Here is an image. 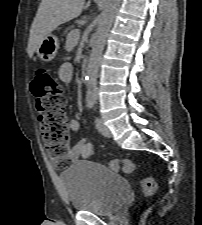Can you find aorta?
<instances>
[{
	"label": "aorta",
	"mask_w": 202,
	"mask_h": 225,
	"mask_svg": "<svg viewBox=\"0 0 202 225\" xmlns=\"http://www.w3.org/2000/svg\"><path fill=\"white\" fill-rule=\"evenodd\" d=\"M120 2L121 0H105L103 11L99 16L98 27L87 66V102L94 103L97 100V78L99 66L106 39L112 26L115 14L120 6Z\"/></svg>",
	"instance_id": "762f6f07"
}]
</instances>
